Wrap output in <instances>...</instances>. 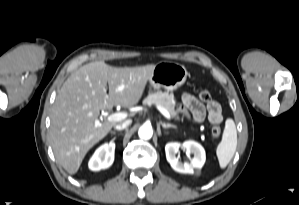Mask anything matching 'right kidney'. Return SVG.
<instances>
[{
    "mask_svg": "<svg viewBox=\"0 0 299 205\" xmlns=\"http://www.w3.org/2000/svg\"><path fill=\"white\" fill-rule=\"evenodd\" d=\"M114 143H106L100 146L89 161V169L99 171L110 167L114 161Z\"/></svg>",
    "mask_w": 299,
    "mask_h": 205,
    "instance_id": "right-kidney-1",
    "label": "right kidney"
}]
</instances>
